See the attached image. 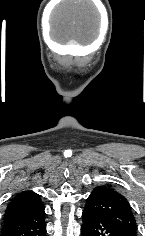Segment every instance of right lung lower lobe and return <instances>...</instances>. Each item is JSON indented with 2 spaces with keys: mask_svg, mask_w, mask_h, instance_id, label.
Instances as JSON below:
<instances>
[{
  "mask_svg": "<svg viewBox=\"0 0 145 236\" xmlns=\"http://www.w3.org/2000/svg\"><path fill=\"white\" fill-rule=\"evenodd\" d=\"M44 207L4 220L0 236H45Z\"/></svg>",
  "mask_w": 145,
  "mask_h": 236,
  "instance_id": "right-lung-lower-lobe-1",
  "label": "right lung lower lobe"
}]
</instances>
